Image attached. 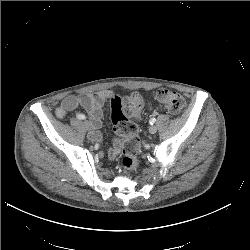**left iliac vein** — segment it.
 <instances>
[{"label": "left iliac vein", "instance_id": "obj_1", "mask_svg": "<svg viewBox=\"0 0 250 250\" xmlns=\"http://www.w3.org/2000/svg\"><path fill=\"white\" fill-rule=\"evenodd\" d=\"M149 132H150L151 134H155V133L157 132V127H156V126H151V127L149 128Z\"/></svg>", "mask_w": 250, "mask_h": 250}]
</instances>
